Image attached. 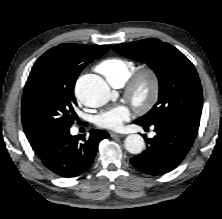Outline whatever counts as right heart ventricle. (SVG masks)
<instances>
[{"label": "right heart ventricle", "mask_w": 222, "mask_h": 219, "mask_svg": "<svg viewBox=\"0 0 222 219\" xmlns=\"http://www.w3.org/2000/svg\"><path fill=\"white\" fill-rule=\"evenodd\" d=\"M135 69L136 66L132 61L119 57L107 58L97 65V70L112 86L116 84L122 86Z\"/></svg>", "instance_id": "obj_1"}]
</instances>
